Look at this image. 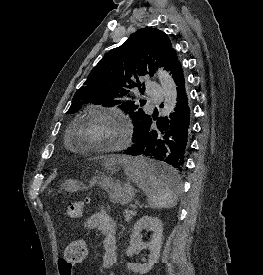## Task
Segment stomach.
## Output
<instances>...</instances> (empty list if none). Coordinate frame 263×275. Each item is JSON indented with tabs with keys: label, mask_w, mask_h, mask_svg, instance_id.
<instances>
[{
	"label": "stomach",
	"mask_w": 263,
	"mask_h": 275,
	"mask_svg": "<svg viewBox=\"0 0 263 275\" xmlns=\"http://www.w3.org/2000/svg\"><path fill=\"white\" fill-rule=\"evenodd\" d=\"M79 189H81V184L78 181L72 179L62 182L58 187L59 192L62 190L75 192ZM133 196L134 189L130 185L122 187L119 184H113L110 187V199L114 203L126 204L132 200Z\"/></svg>",
	"instance_id": "obj_1"
}]
</instances>
